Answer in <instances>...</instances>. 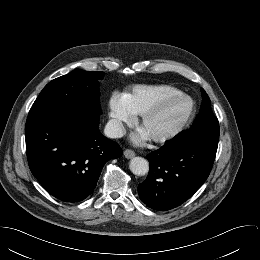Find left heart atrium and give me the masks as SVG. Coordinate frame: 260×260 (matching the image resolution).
Wrapping results in <instances>:
<instances>
[{
	"instance_id": "obj_1",
	"label": "left heart atrium",
	"mask_w": 260,
	"mask_h": 260,
	"mask_svg": "<svg viewBox=\"0 0 260 260\" xmlns=\"http://www.w3.org/2000/svg\"><path fill=\"white\" fill-rule=\"evenodd\" d=\"M147 139V134L146 132H142L140 134H136L132 137V141L134 143H139V142H142V141H145Z\"/></svg>"
}]
</instances>
